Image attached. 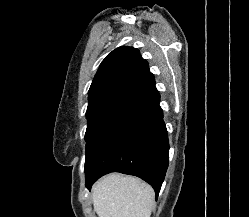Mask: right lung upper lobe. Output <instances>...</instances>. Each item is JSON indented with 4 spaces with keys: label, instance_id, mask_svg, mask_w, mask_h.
<instances>
[{
    "label": "right lung upper lobe",
    "instance_id": "1",
    "mask_svg": "<svg viewBox=\"0 0 249 217\" xmlns=\"http://www.w3.org/2000/svg\"><path fill=\"white\" fill-rule=\"evenodd\" d=\"M149 73L148 63L139 50L119 47L102 61L90 86L89 100L106 93H124Z\"/></svg>",
    "mask_w": 249,
    "mask_h": 217
}]
</instances>
